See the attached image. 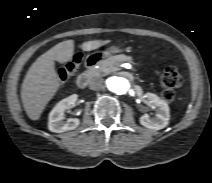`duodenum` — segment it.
<instances>
[{"label": "duodenum", "instance_id": "410a0bca", "mask_svg": "<svg viewBox=\"0 0 212 183\" xmlns=\"http://www.w3.org/2000/svg\"><path fill=\"white\" fill-rule=\"evenodd\" d=\"M97 63H98V57L96 56H91L86 59L85 70L78 76L76 81V84L79 88H84L88 85L89 80L92 76L93 68Z\"/></svg>", "mask_w": 212, "mask_h": 183}]
</instances>
